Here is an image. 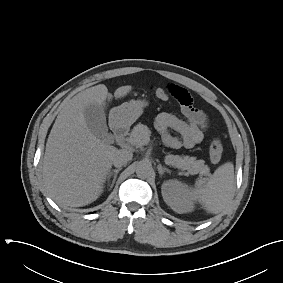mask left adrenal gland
Instances as JSON below:
<instances>
[{
  "label": "left adrenal gland",
  "instance_id": "1",
  "mask_svg": "<svg viewBox=\"0 0 283 283\" xmlns=\"http://www.w3.org/2000/svg\"><path fill=\"white\" fill-rule=\"evenodd\" d=\"M157 168L160 176H162L164 172L171 173V171L168 168L163 167L161 164H159Z\"/></svg>",
  "mask_w": 283,
  "mask_h": 283
}]
</instances>
